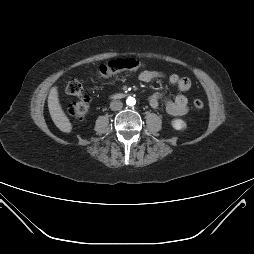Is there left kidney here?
<instances>
[{
	"mask_svg": "<svg viewBox=\"0 0 254 254\" xmlns=\"http://www.w3.org/2000/svg\"><path fill=\"white\" fill-rule=\"evenodd\" d=\"M172 126L176 130H182L186 128L187 124L184 120L177 118V119H173Z\"/></svg>",
	"mask_w": 254,
	"mask_h": 254,
	"instance_id": "1",
	"label": "left kidney"
}]
</instances>
